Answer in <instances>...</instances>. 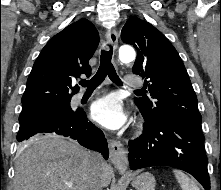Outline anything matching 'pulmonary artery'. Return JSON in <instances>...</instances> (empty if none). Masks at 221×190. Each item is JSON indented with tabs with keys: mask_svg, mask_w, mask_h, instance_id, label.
<instances>
[{
	"mask_svg": "<svg viewBox=\"0 0 221 190\" xmlns=\"http://www.w3.org/2000/svg\"><path fill=\"white\" fill-rule=\"evenodd\" d=\"M123 84L127 87H133V88H139L143 86V81L140 77L132 74H127L124 76ZM84 92L77 93L74 96V101L78 102L81 100L84 96Z\"/></svg>",
	"mask_w": 221,
	"mask_h": 190,
	"instance_id": "1",
	"label": "pulmonary artery"
}]
</instances>
